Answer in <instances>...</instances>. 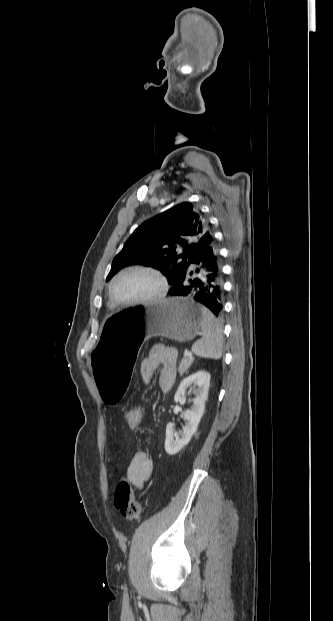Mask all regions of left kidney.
<instances>
[{
	"instance_id": "5707ae66",
	"label": "left kidney",
	"mask_w": 333,
	"mask_h": 621,
	"mask_svg": "<svg viewBox=\"0 0 333 621\" xmlns=\"http://www.w3.org/2000/svg\"><path fill=\"white\" fill-rule=\"evenodd\" d=\"M210 385V374L205 371H198L188 376L180 383L174 401L180 402L185 398L186 390L190 387L193 389L195 398L190 409L184 412L186 421L182 431L179 432L180 437L174 438V424L169 422L166 426L165 451L169 455L178 453L185 445L189 443L193 434L197 431L198 424L203 416L205 409V401L208 397Z\"/></svg>"
}]
</instances>
